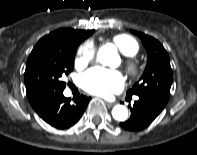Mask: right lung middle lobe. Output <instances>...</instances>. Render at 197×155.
<instances>
[{
	"label": "right lung middle lobe",
	"mask_w": 197,
	"mask_h": 155,
	"mask_svg": "<svg viewBox=\"0 0 197 155\" xmlns=\"http://www.w3.org/2000/svg\"><path fill=\"white\" fill-rule=\"evenodd\" d=\"M82 40L43 37L30 53L25 70V86L30 103H47L63 93L60 78L74 67L77 47Z\"/></svg>",
	"instance_id": "dd1d6c3e"
}]
</instances>
